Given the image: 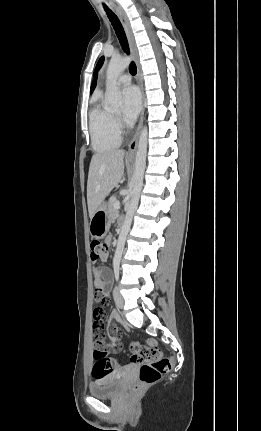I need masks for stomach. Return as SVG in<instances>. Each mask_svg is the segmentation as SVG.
Returning <instances> with one entry per match:
<instances>
[{
	"mask_svg": "<svg viewBox=\"0 0 261 431\" xmlns=\"http://www.w3.org/2000/svg\"><path fill=\"white\" fill-rule=\"evenodd\" d=\"M111 219L106 203H102L90 219L89 230L93 238L102 239L109 231Z\"/></svg>",
	"mask_w": 261,
	"mask_h": 431,
	"instance_id": "0dacf381",
	"label": "stomach"
}]
</instances>
